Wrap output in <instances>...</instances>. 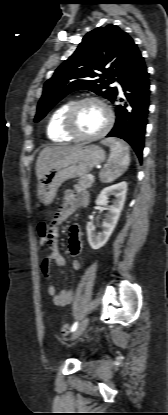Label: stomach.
<instances>
[{"label":"stomach","mask_w":168,"mask_h":415,"mask_svg":"<svg viewBox=\"0 0 168 415\" xmlns=\"http://www.w3.org/2000/svg\"><path fill=\"white\" fill-rule=\"evenodd\" d=\"M105 160L104 150L97 145H80L55 161L38 181L37 195L44 205L54 200L58 188L67 180L88 174Z\"/></svg>","instance_id":"stomach-1"}]
</instances>
